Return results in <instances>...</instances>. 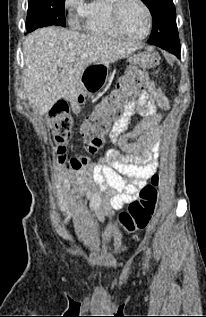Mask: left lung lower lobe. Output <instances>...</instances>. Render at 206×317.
<instances>
[{"label": "left lung lower lobe", "instance_id": "1", "mask_svg": "<svg viewBox=\"0 0 206 317\" xmlns=\"http://www.w3.org/2000/svg\"><path fill=\"white\" fill-rule=\"evenodd\" d=\"M160 48L167 50L173 54H175L178 58L180 57V44H159L157 45Z\"/></svg>", "mask_w": 206, "mask_h": 317}]
</instances>
